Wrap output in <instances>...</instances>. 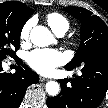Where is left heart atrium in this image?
Masks as SVG:
<instances>
[{
	"label": "left heart atrium",
	"instance_id": "left-heart-atrium-1",
	"mask_svg": "<svg viewBox=\"0 0 108 108\" xmlns=\"http://www.w3.org/2000/svg\"><path fill=\"white\" fill-rule=\"evenodd\" d=\"M29 66L36 72L47 75L64 62V56L53 49H35L27 54Z\"/></svg>",
	"mask_w": 108,
	"mask_h": 108
}]
</instances>
